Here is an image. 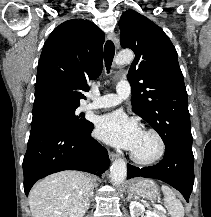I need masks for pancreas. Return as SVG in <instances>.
I'll use <instances>...</instances> for the list:
<instances>
[{
    "mask_svg": "<svg viewBox=\"0 0 211 217\" xmlns=\"http://www.w3.org/2000/svg\"><path fill=\"white\" fill-rule=\"evenodd\" d=\"M155 212L159 214V217H166L161 211L155 210Z\"/></svg>",
    "mask_w": 211,
    "mask_h": 217,
    "instance_id": "1",
    "label": "pancreas"
}]
</instances>
